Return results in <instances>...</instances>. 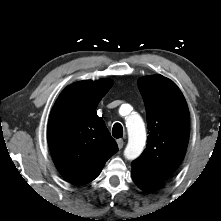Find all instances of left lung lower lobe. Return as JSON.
Segmentation results:
<instances>
[{
	"mask_svg": "<svg viewBox=\"0 0 221 221\" xmlns=\"http://www.w3.org/2000/svg\"><path fill=\"white\" fill-rule=\"evenodd\" d=\"M132 179L135 184L145 192H154L164 186V181L145 172L141 167L132 164Z\"/></svg>",
	"mask_w": 221,
	"mask_h": 221,
	"instance_id": "obj_1",
	"label": "left lung lower lobe"
}]
</instances>
